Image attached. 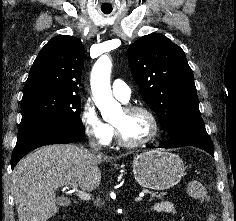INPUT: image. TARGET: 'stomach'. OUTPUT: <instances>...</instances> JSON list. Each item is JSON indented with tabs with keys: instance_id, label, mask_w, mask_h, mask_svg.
Returning <instances> with one entry per match:
<instances>
[{
	"instance_id": "1",
	"label": "stomach",
	"mask_w": 236,
	"mask_h": 221,
	"mask_svg": "<svg viewBox=\"0 0 236 221\" xmlns=\"http://www.w3.org/2000/svg\"><path fill=\"white\" fill-rule=\"evenodd\" d=\"M132 167L138 184L152 190H165L175 186L185 171L184 163L178 155L162 150L138 154Z\"/></svg>"
}]
</instances>
